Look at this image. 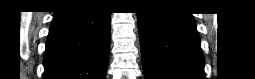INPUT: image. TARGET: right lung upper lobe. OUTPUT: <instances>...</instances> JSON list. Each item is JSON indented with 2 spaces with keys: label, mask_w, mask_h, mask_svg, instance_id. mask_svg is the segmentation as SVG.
Segmentation results:
<instances>
[{
  "label": "right lung upper lobe",
  "mask_w": 255,
  "mask_h": 79,
  "mask_svg": "<svg viewBox=\"0 0 255 79\" xmlns=\"http://www.w3.org/2000/svg\"><path fill=\"white\" fill-rule=\"evenodd\" d=\"M88 1H72V2H66L67 4H75V3H85Z\"/></svg>",
  "instance_id": "obj_1"
}]
</instances>
